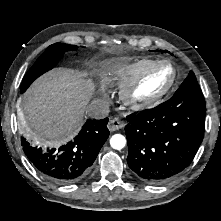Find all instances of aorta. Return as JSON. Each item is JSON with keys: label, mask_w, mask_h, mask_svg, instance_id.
<instances>
[{"label": "aorta", "mask_w": 221, "mask_h": 221, "mask_svg": "<svg viewBox=\"0 0 221 221\" xmlns=\"http://www.w3.org/2000/svg\"><path fill=\"white\" fill-rule=\"evenodd\" d=\"M110 145L113 149L121 150L126 145V139L121 134H114L110 139Z\"/></svg>", "instance_id": "obj_1"}]
</instances>
